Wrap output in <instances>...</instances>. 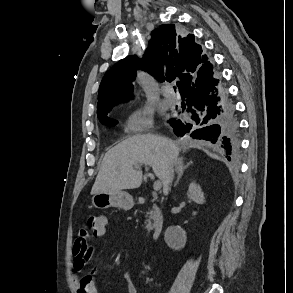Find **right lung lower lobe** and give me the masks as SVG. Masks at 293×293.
I'll use <instances>...</instances> for the list:
<instances>
[{"mask_svg":"<svg viewBox=\"0 0 293 293\" xmlns=\"http://www.w3.org/2000/svg\"><path fill=\"white\" fill-rule=\"evenodd\" d=\"M212 70L213 65L209 61L204 63L195 78L180 92L187 102L186 111L192 120H172L170 125L179 137L217 143L230 160L239 146L238 121L226 96L222 92L217 95L215 86L219 80L213 78Z\"/></svg>","mask_w":293,"mask_h":293,"instance_id":"obj_1","label":"right lung lower lobe"}]
</instances>
